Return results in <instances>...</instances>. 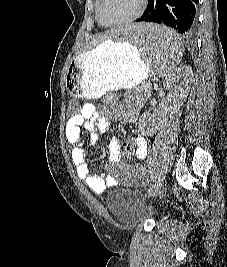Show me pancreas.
<instances>
[{"label":"pancreas","mask_w":227,"mask_h":267,"mask_svg":"<svg viewBox=\"0 0 227 267\" xmlns=\"http://www.w3.org/2000/svg\"><path fill=\"white\" fill-rule=\"evenodd\" d=\"M140 90L145 91L147 94L151 92V86L148 82L144 81L142 86L139 87Z\"/></svg>","instance_id":"obj_1"}]
</instances>
